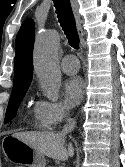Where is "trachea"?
<instances>
[{
  "instance_id": "trachea-1",
  "label": "trachea",
  "mask_w": 125,
  "mask_h": 167,
  "mask_svg": "<svg viewBox=\"0 0 125 167\" xmlns=\"http://www.w3.org/2000/svg\"><path fill=\"white\" fill-rule=\"evenodd\" d=\"M56 8L59 23L69 41L70 46L75 49L79 48V36L76 29V23L70 0H53Z\"/></svg>"
}]
</instances>
